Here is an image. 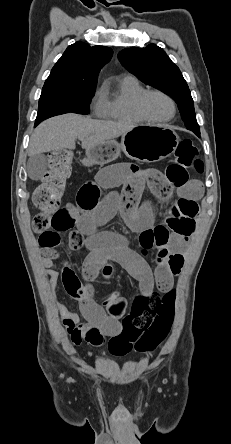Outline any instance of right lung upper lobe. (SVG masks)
<instances>
[{
    "label": "right lung upper lobe",
    "mask_w": 231,
    "mask_h": 444,
    "mask_svg": "<svg viewBox=\"0 0 231 444\" xmlns=\"http://www.w3.org/2000/svg\"><path fill=\"white\" fill-rule=\"evenodd\" d=\"M113 51L105 46L76 42L66 49L52 68L43 89H91L97 84L100 69L112 57Z\"/></svg>",
    "instance_id": "cb5924a9"
}]
</instances>
